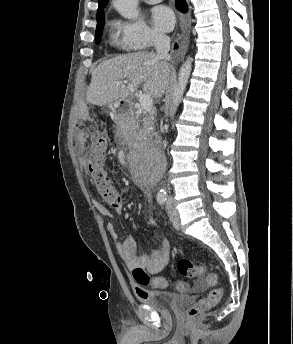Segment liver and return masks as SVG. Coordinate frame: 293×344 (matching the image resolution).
Here are the masks:
<instances>
[{
    "label": "liver",
    "instance_id": "liver-1",
    "mask_svg": "<svg viewBox=\"0 0 293 344\" xmlns=\"http://www.w3.org/2000/svg\"><path fill=\"white\" fill-rule=\"evenodd\" d=\"M172 77L171 67L153 52L139 51L100 63L92 72L87 101L105 106L128 99L143 84L151 98H161ZM116 81H127L117 85Z\"/></svg>",
    "mask_w": 293,
    "mask_h": 344
}]
</instances>
